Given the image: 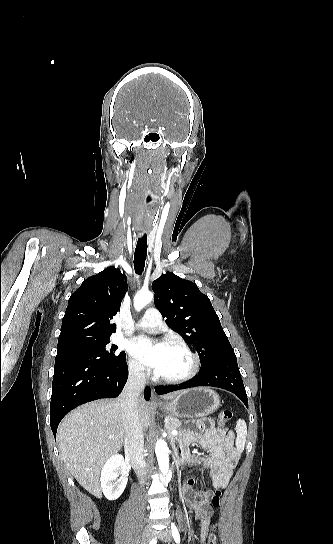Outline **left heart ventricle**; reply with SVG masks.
<instances>
[{"instance_id": "b2bd125f", "label": "left heart ventricle", "mask_w": 333, "mask_h": 544, "mask_svg": "<svg viewBox=\"0 0 333 544\" xmlns=\"http://www.w3.org/2000/svg\"><path fill=\"white\" fill-rule=\"evenodd\" d=\"M191 367V359L180 348L168 345L163 362L156 373L163 377L184 375Z\"/></svg>"}]
</instances>
